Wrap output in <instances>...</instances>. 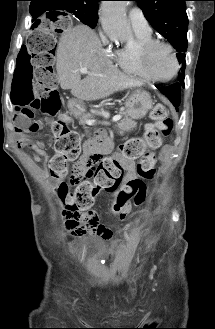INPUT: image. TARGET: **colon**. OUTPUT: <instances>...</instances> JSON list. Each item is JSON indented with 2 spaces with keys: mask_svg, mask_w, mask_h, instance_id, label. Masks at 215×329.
Instances as JSON below:
<instances>
[{
  "mask_svg": "<svg viewBox=\"0 0 215 329\" xmlns=\"http://www.w3.org/2000/svg\"><path fill=\"white\" fill-rule=\"evenodd\" d=\"M71 20V14H41V19H34V25H30L25 49L20 55H14L15 72L28 74H18V81H12L8 91L13 93L10 102L15 103V109H18L24 122L36 113L55 117L60 109L53 69L58 47L56 38H62V32H68ZM151 117L154 122L146 126L143 137L132 138L120 146L121 157L139 160L138 173L146 179H152L155 174V159L152 154H147V150L157 148L162 137H167L173 128V121L163 104L153 107ZM19 129L36 133L39 127L37 124H24ZM52 130L56 136V153L49 161V171L52 178L59 180L57 193L67 215L86 214L99 192H112L121 185L124 174L121 160L118 157L91 155L83 167L73 169L70 182L75 188L71 190L64 178L68 173V164L80 153L81 138L69 129L66 116H60Z\"/></svg>",
  "mask_w": 215,
  "mask_h": 329,
  "instance_id": "obj_1",
  "label": "colon"
}]
</instances>
